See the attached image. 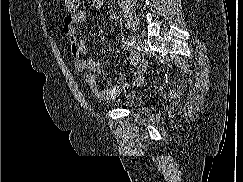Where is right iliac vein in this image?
<instances>
[{"instance_id":"obj_1","label":"right iliac vein","mask_w":243,"mask_h":182,"mask_svg":"<svg viewBox=\"0 0 243 182\" xmlns=\"http://www.w3.org/2000/svg\"><path fill=\"white\" fill-rule=\"evenodd\" d=\"M130 40L132 43L137 44L139 42V38L136 35H131Z\"/></svg>"}]
</instances>
